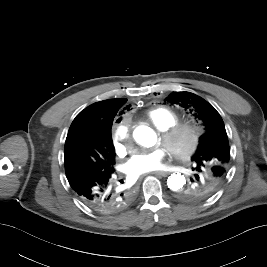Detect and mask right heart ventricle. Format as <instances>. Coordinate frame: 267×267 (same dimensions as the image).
Listing matches in <instances>:
<instances>
[{
    "label": "right heart ventricle",
    "mask_w": 267,
    "mask_h": 267,
    "mask_svg": "<svg viewBox=\"0 0 267 267\" xmlns=\"http://www.w3.org/2000/svg\"><path fill=\"white\" fill-rule=\"evenodd\" d=\"M146 119L162 131L177 123L180 117L175 111L167 107H156L146 113Z\"/></svg>",
    "instance_id": "obj_1"
}]
</instances>
